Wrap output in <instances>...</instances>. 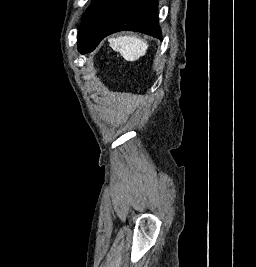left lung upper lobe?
<instances>
[{
    "label": "left lung upper lobe",
    "mask_w": 256,
    "mask_h": 267,
    "mask_svg": "<svg viewBox=\"0 0 256 267\" xmlns=\"http://www.w3.org/2000/svg\"><path fill=\"white\" fill-rule=\"evenodd\" d=\"M156 0H94L82 20L78 50L91 52L109 34L138 31L162 38Z\"/></svg>",
    "instance_id": "1"
}]
</instances>
